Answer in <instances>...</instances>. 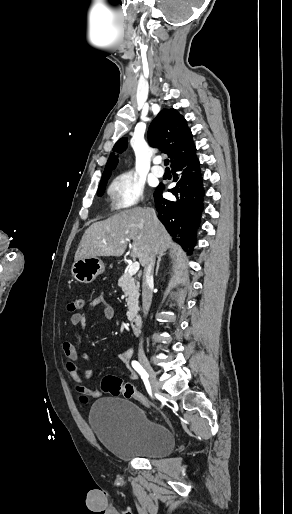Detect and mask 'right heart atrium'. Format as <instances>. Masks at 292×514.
Wrapping results in <instances>:
<instances>
[{"label":"right heart atrium","mask_w":292,"mask_h":514,"mask_svg":"<svg viewBox=\"0 0 292 514\" xmlns=\"http://www.w3.org/2000/svg\"><path fill=\"white\" fill-rule=\"evenodd\" d=\"M144 179L133 170H126L115 175L107 188V194L113 209H129L138 204L144 193Z\"/></svg>","instance_id":"right-heart-atrium-1"}]
</instances>
